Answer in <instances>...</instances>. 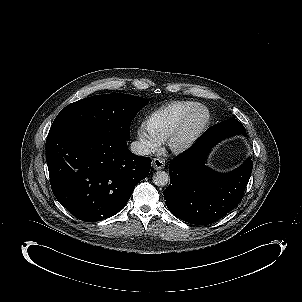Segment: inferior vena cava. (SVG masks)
<instances>
[{"mask_svg":"<svg viewBox=\"0 0 302 302\" xmlns=\"http://www.w3.org/2000/svg\"><path fill=\"white\" fill-rule=\"evenodd\" d=\"M130 150L132 153L139 156H147L151 154V150L146 145L140 143L139 141L132 142L130 144Z\"/></svg>","mask_w":302,"mask_h":302,"instance_id":"obj_1","label":"inferior vena cava"}]
</instances>
